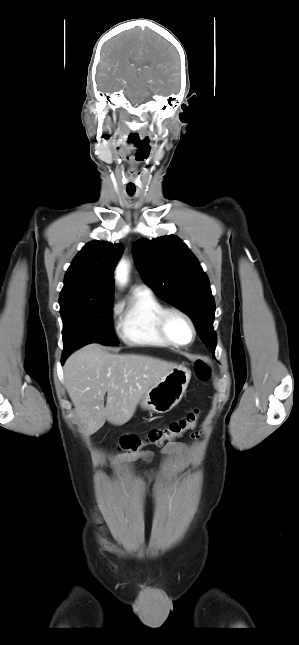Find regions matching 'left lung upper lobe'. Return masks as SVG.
Here are the masks:
<instances>
[{
	"mask_svg": "<svg viewBox=\"0 0 299 645\" xmlns=\"http://www.w3.org/2000/svg\"><path fill=\"white\" fill-rule=\"evenodd\" d=\"M133 255L143 280L164 301L193 320L207 348L214 352L215 302L207 275L186 244L177 236L137 240Z\"/></svg>",
	"mask_w": 299,
	"mask_h": 645,
	"instance_id": "1",
	"label": "left lung upper lobe"
}]
</instances>
